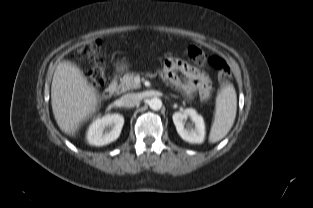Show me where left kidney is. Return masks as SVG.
Segmentation results:
<instances>
[{"mask_svg":"<svg viewBox=\"0 0 313 208\" xmlns=\"http://www.w3.org/2000/svg\"><path fill=\"white\" fill-rule=\"evenodd\" d=\"M192 124L185 127L187 118ZM174 125L180 137L189 143H202L205 138V124L201 115L193 108H187L182 112H175L172 116Z\"/></svg>","mask_w":313,"mask_h":208,"instance_id":"obj_1","label":"left kidney"}]
</instances>
